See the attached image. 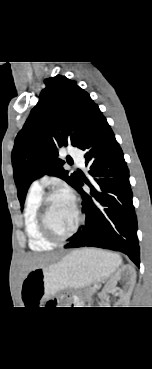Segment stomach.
<instances>
[{"label": "stomach", "instance_id": "stomach-1", "mask_svg": "<svg viewBox=\"0 0 152 369\" xmlns=\"http://www.w3.org/2000/svg\"><path fill=\"white\" fill-rule=\"evenodd\" d=\"M121 264L119 255L97 249L74 251L60 261L27 273L21 286L22 297L37 304L67 287L83 288L104 280Z\"/></svg>", "mask_w": 152, "mask_h": 369}]
</instances>
